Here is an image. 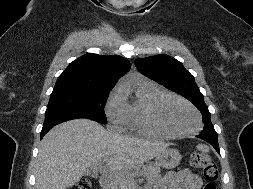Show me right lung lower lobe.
<instances>
[{
	"instance_id": "98d812e1",
	"label": "right lung lower lobe",
	"mask_w": 253,
	"mask_h": 189,
	"mask_svg": "<svg viewBox=\"0 0 253 189\" xmlns=\"http://www.w3.org/2000/svg\"><path fill=\"white\" fill-rule=\"evenodd\" d=\"M66 120H69V119H55V120H50V121H45L44 122V125H43V128H42V131H41V138L52 128L54 127L55 125L63 122V121H66Z\"/></svg>"
}]
</instances>
